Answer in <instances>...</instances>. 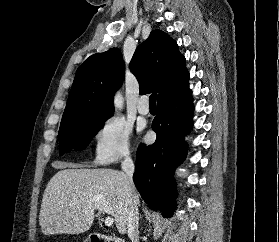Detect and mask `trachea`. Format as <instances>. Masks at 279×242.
I'll use <instances>...</instances> for the list:
<instances>
[{
    "mask_svg": "<svg viewBox=\"0 0 279 242\" xmlns=\"http://www.w3.org/2000/svg\"><path fill=\"white\" fill-rule=\"evenodd\" d=\"M156 99H157V94L153 93L149 97V104L152 106H156Z\"/></svg>",
    "mask_w": 279,
    "mask_h": 242,
    "instance_id": "1",
    "label": "trachea"
}]
</instances>
